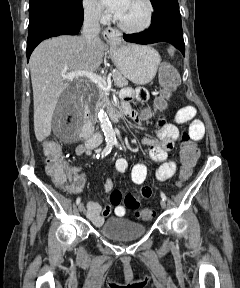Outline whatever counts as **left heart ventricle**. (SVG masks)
Segmentation results:
<instances>
[{
  "label": "left heart ventricle",
  "instance_id": "obj_1",
  "mask_svg": "<svg viewBox=\"0 0 240 288\" xmlns=\"http://www.w3.org/2000/svg\"><path fill=\"white\" fill-rule=\"evenodd\" d=\"M148 17V7L144 0H128L123 13L118 17L129 27H140Z\"/></svg>",
  "mask_w": 240,
  "mask_h": 288
}]
</instances>
